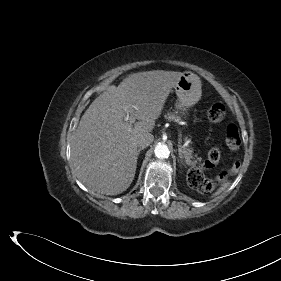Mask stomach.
Wrapping results in <instances>:
<instances>
[{
	"mask_svg": "<svg viewBox=\"0 0 281 281\" xmlns=\"http://www.w3.org/2000/svg\"><path fill=\"white\" fill-rule=\"evenodd\" d=\"M174 88L178 97L176 107L183 114L187 108L196 104L201 97L200 78L191 72H184L176 81Z\"/></svg>",
	"mask_w": 281,
	"mask_h": 281,
	"instance_id": "obj_1",
	"label": "stomach"
}]
</instances>
